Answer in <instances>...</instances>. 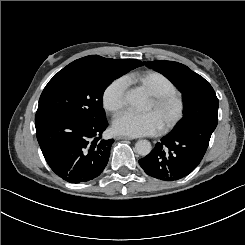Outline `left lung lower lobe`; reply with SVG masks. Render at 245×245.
I'll use <instances>...</instances> for the list:
<instances>
[{
    "label": "left lung lower lobe",
    "instance_id": "obj_1",
    "mask_svg": "<svg viewBox=\"0 0 245 245\" xmlns=\"http://www.w3.org/2000/svg\"><path fill=\"white\" fill-rule=\"evenodd\" d=\"M199 107L198 111L184 113L175 128L139 160L147 175L163 181H176L200 164L218 122L216 94H209Z\"/></svg>",
    "mask_w": 245,
    "mask_h": 245
}]
</instances>
